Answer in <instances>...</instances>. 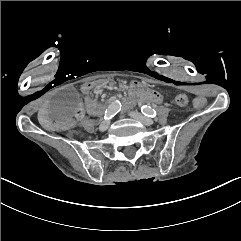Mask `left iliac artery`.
Wrapping results in <instances>:
<instances>
[{"label":"left iliac artery","instance_id":"obj_1","mask_svg":"<svg viewBox=\"0 0 241 241\" xmlns=\"http://www.w3.org/2000/svg\"><path fill=\"white\" fill-rule=\"evenodd\" d=\"M141 112L148 117H156L157 112L155 109H152L150 106L144 105L141 107Z\"/></svg>","mask_w":241,"mask_h":241}]
</instances>
